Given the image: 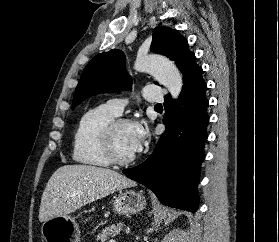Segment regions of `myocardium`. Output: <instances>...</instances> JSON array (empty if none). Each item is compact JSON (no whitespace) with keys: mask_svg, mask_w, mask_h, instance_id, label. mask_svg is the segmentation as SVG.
I'll return each instance as SVG.
<instances>
[{"mask_svg":"<svg viewBox=\"0 0 279 242\" xmlns=\"http://www.w3.org/2000/svg\"><path fill=\"white\" fill-rule=\"evenodd\" d=\"M124 125H136V123L128 118H115L109 123H107L99 133L100 143L103 151L109 161L117 165H129L133 163L136 159L134 154L131 157L123 158L118 155L115 149V134L117 130Z\"/></svg>","mask_w":279,"mask_h":242,"instance_id":"myocardium-1","label":"myocardium"}]
</instances>
